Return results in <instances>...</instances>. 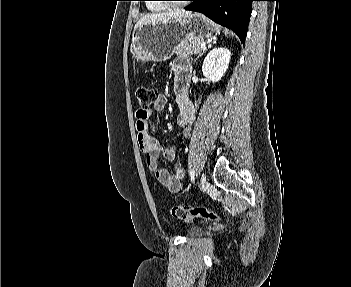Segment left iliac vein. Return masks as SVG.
Returning <instances> with one entry per match:
<instances>
[{
    "label": "left iliac vein",
    "mask_w": 351,
    "mask_h": 287,
    "mask_svg": "<svg viewBox=\"0 0 351 287\" xmlns=\"http://www.w3.org/2000/svg\"><path fill=\"white\" fill-rule=\"evenodd\" d=\"M200 182H201L202 185L205 184V182H206V177H205L204 174L201 175Z\"/></svg>",
    "instance_id": "obj_1"
}]
</instances>
